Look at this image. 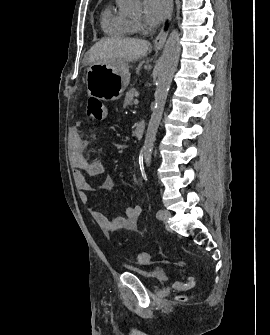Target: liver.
I'll use <instances>...</instances> for the list:
<instances>
[{
	"instance_id": "1",
	"label": "liver",
	"mask_w": 270,
	"mask_h": 335,
	"mask_svg": "<svg viewBox=\"0 0 270 335\" xmlns=\"http://www.w3.org/2000/svg\"><path fill=\"white\" fill-rule=\"evenodd\" d=\"M146 40H135V38H103L96 42L88 52V62H103L113 66L116 60H139L144 58L149 48Z\"/></svg>"
}]
</instances>
